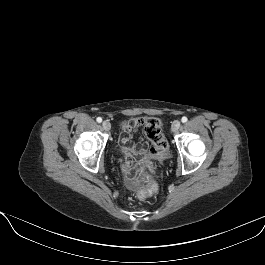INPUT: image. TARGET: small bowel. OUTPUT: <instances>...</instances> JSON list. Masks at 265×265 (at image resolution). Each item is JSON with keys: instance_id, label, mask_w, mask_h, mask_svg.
I'll return each instance as SVG.
<instances>
[{"instance_id": "1", "label": "small bowel", "mask_w": 265, "mask_h": 265, "mask_svg": "<svg viewBox=\"0 0 265 265\" xmlns=\"http://www.w3.org/2000/svg\"><path fill=\"white\" fill-rule=\"evenodd\" d=\"M144 126V120L131 119L127 120L122 125V133L120 136L121 150L125 157L123 164V170L125 173L126 181L130 183L132 181V159L136 155L142 154L147 149V144H132V133L138 128Z\"/></svg>"}]
</instances>
